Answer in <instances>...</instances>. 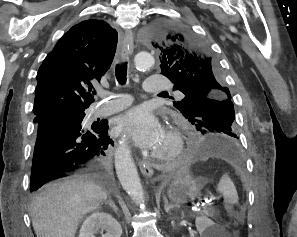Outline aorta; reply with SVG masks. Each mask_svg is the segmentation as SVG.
<instances>
[{"instance_id":"obj_1","label":"aorta","mask_w":297,"mask_h":237,"mask_svg":"<svg viewBox=\"0 0 297 237\" xmlns=\"http://www.w3.org/2000/svg\"><path fill=\"white\" fill-rule=\"evenodd\" d=\"M154 62L153 56L146 52L138 53L134 59L135 66L139 70L151 68ZM115 167L119 181L126 193L137 205L144 206L143 187L125 138H122L115 151Z\"/></svg>"}]
</instances>
